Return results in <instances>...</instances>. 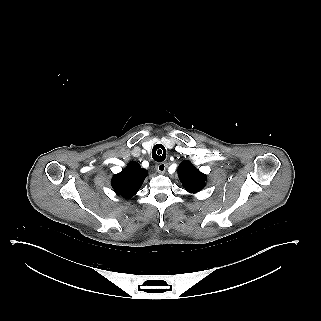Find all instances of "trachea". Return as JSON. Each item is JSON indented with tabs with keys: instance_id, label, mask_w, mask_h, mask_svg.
Masks as SVG:
<instances>
[{
	"instance_id": "3493384b",
	"label": "trachea",
	"mask_w": 321,
	"mask_h": 321,
	"mask_svg": "<svg viewBox=\"0 0 321 321\" xmlns=\"http://www.w3.org/2000/svg\"><path fill=\"white\" fill-rule=\"evenodd\" d=\"M152 158L157 162H162L166 158L165 147L161 144H156L152 149Z\"/></svg>"
}]
</instances>
